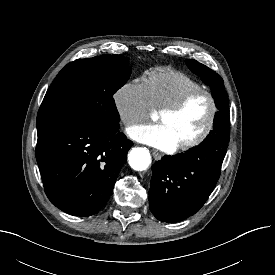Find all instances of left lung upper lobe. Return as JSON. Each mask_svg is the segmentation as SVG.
Instances as JSON below:
<instances>
[{
  "instance_id": "left-lung-upper-lobe-1",
  "label": "left lung upper lobe",
  "mask_w": 275,
  "mask_h": 275,
  "mask_svg": "<svg viewBox=\"0 0 275 275\" xmlns=\"http://www.w3.org/2000/svg\"><path fill=\"white\" fill-rule=\"evenodd\" d=\"M189 69L201 77L202 81L211 87V93L215 99L218 112L215 114L213 130L210 131L204 141L221 140L229 142L230 139V120L228 113V96L224 89L223 79L205 65L196 60H186Z\"/></svg>"
}]
</instances>
